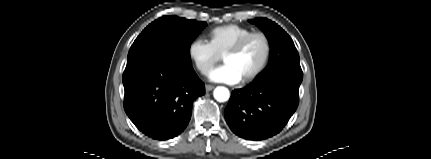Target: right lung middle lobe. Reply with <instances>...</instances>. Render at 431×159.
<instances>
[{
  "label": "right lung middle lobe",
  "mask_w": 431,
  "mask_h": 159,
  "mask_svg": "<svg viewBox=\"0 0 431 159\" xmlns=\"http://www.w3.org/2000/svg\"><path fill=\"white\" fill-rule=\"evenodd\" d=\"M206 25V22L176 16L161 17L149 24L136 38L129 50L127 63L158 53L192 65L191 43Z\"/></svg>",
  "instance_id": "1"
}]
</instances>
